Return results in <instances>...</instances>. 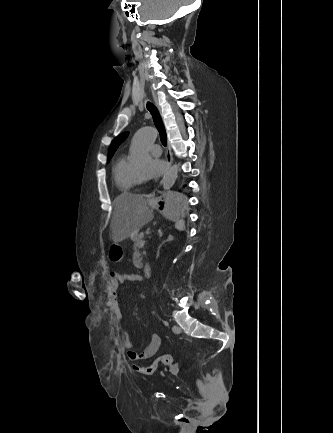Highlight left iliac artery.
<instances>
[{
  "label": "left iliac artery",
  "instance_id": "obj_1",
  "mask_svg": "<svg viewBox=\"0 0 333 433\" xmlns=\"http://www.w3.org/2000/svg\"><path fill=\"white\" fill-rule=\"evenodd\" d=\"M164 325L168 326L169 323L167 321H163Z\"/></svg>",
  "mask_w": 333,
  "mask_h": 433
}]
</instances>
